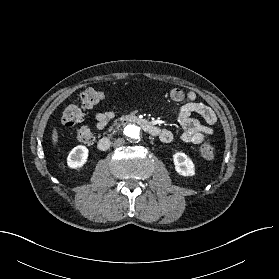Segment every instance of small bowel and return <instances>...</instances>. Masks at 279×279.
<instances>
[{
  "mask_svg": "<svg viewBox=\"0 0 279 279\" xmlns=\"http://www.w3.org/2000/svg\"><path fill=\"white\" fill-rule=\"evenodd\" d=\"M170 99L175 103H181L186 100L182 106L172 109L176 114L177 120L182 127L180 140L185 143L200 144L205 137L213 133L212 126L216 122L215 112L207 105L197 102V95L194 91L184 92L179 88H173L169 92ZM193 114L200 115L205 124L193 118ZM113 111H102L95 115L97 128L103 129L113 118ZM162 142L169 143L174 139L173 133L165 128H158L156 135Z\"/></svg>",
  "mask_w": 279,
  "mask_h": 279,
  "instance_id": "obj_1",
  "label": "small bowel"
}]
</instances>
